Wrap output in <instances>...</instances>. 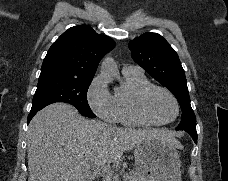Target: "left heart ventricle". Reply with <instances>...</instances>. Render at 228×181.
Returning a JSON list of instances; mask_svg holds the SVG:
<instances>
[{
  "label": "left heart ventricle",
  "instance_id": "obj_1",
  "mask_svg": "<svg viewBox=\"0 0 228 181\" xmlns=\"http://www.w3.org/2000/svg\"><path fill=\"white\" fill-rule=\"evenodd\" d=\"M146 110L160 115V119H167L173 114V108L169 98L162 92L156 91L149 99Z\"/></svg>",
  "mask_w": 228,
  "mask_h": 181
}]
</instances>
